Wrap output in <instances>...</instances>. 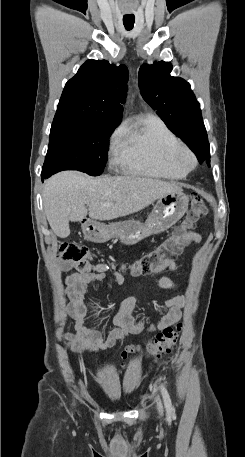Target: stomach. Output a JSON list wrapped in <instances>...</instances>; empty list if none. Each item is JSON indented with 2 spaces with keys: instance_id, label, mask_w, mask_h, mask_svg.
<instances>
[{
  "instance_id": "1",
  "label": "stomach",
  "mask_w": 245,
  "mask_h": 457,
  "mask_svg": "<svg viewBox=\"0 0 245 457\" xmlns=\"http://www.w3.org/2000/svg\"><path fill=\"white\" fill-rule=\"evenodd\" d=\"M189 198L184 192H170L158 198L146 222L122 220L103 224L98 220H82V231L92 243H106L109 239H120L124 245H135L145 237L158 235L170 229L188 208Z\"/></svg>"
}]
</instances>
